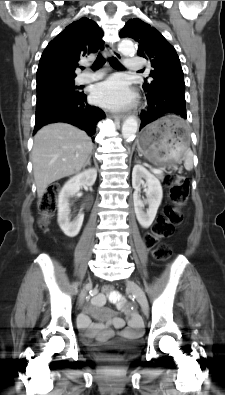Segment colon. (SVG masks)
<instances>
[{
    "label": "colon",
    "instance_id": "1",
    "mask_svg": "<svg viewBox=\"0 0 225 395\" xmlns=\"http://www.w3.org/2000/svg\"><path fill=\"white\" fill-rule=\"evenodd\" d=\"M166 183L170 192L171 204L166 206L164 213L153 224L151 232L146 236V245L153 249V255L157 260H166L171 255V247L166 243H160L162 239L170 237L175 227L182 221L181 207L189 193V180L182 175H169ZM59 185L52 184L47 188L39 201L41 214L40 224L45 227L49 218L56 209V199ZM112 285H103V294H111Z\"/></svg>",
    "mask_w": 225,
    "mask_h": 395
}]
</instances>
